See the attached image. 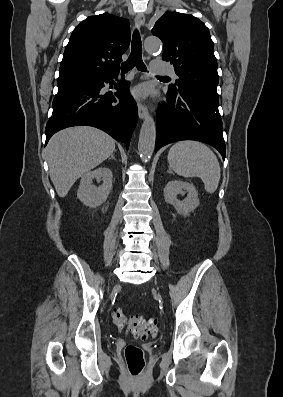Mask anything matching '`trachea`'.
Masks as SVG:
<instances>
[{"label":"trachea","mask_w":283,"mask_h":397,"mask_svg":"<svg viewBox=\"0 0 283 397\" xmlns=\"http://www.w3.org/2000/svg\"><path fill=\"white\" fill-rule=\"evenodd\" d=\"M136 67L138 70L144 72L147 68L142 60V43L139 31L136 29L133 32L132 43H131V53L128 59L122 63L121 71L122 74L127 73L132 68ZM166 77V76H160Z\"/></svg>","instance_id":"1"}]
</instances>
